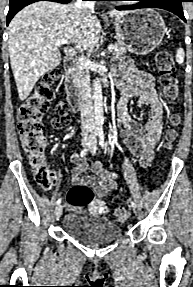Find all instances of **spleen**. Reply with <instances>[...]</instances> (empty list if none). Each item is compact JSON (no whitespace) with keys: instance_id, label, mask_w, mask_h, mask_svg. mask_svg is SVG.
<instances>
[{"instance_id":"obj_1","label":"spleen","mask_w":193,"mask_h":287,"mask_svg":"<svg viewBox=\"0 0 193 287\" xmlns=\"http://www.w3.org/2000/svg\"><path fill=\"white\" fill-rule=\"evenodd\" d=\"M184 56H185L184 50L182 48L177 49L176 56H175L176 62L178 64H182L184 61Z\"/></svg>"}]
</instances>
